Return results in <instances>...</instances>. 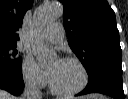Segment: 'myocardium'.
Here are the masks:
<instances>
[{
  "label": "myocardium",
  "mask_w": 128,
  "mask_h": 99,
  "mask_svg": "<svg viewBox=\"0 0 128 99\" xmlns=\"http://www.w3.org/2000/svg\"><path fill=\"white\" fill-rule=\"evenodd\" d=\"M60 60L61 61H66V62H73V63H76L79 66V68L81 69L82 75H83L82 83L77 88H75L73 90L63 91V90L58 89L55 86V84L52 81L51 76L49 75L50 89L54 94H56L58 96H62V97L75 96V95L79 94L80 92H82L86 88V86L88 85V82H89L88 71H87L85 65L82 63V61H80L78 58H75V57H63Z\"/></svg>",
  "instance_id": "f54148a6"
}]
</instances>
